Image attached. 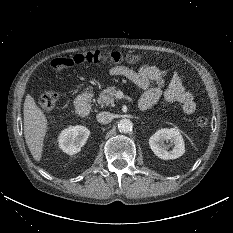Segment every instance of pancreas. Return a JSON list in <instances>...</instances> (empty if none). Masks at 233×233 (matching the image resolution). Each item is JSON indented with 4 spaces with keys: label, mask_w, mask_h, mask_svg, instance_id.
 <instances>
[{
    "label": "pancreas",
    "mask_w": 233,
    "mask_h": 233,
    "mask_svg": "<svg viewBox=\"0 0 233 233\" xmlns=\"http://www.w3.org/2000/svg\"><path fill=\"white\" fill-rule=\"evenodd\" d=\"M117 89L115 86L108 87L107 89L103 90L98 97V104L101 106H114L115 96L117 94Z\"/></svg>",
    "instance_id": "pancreas-1"
}]
</instances>
